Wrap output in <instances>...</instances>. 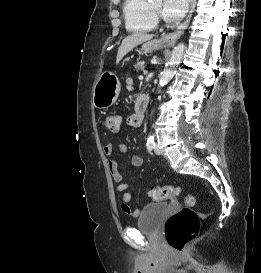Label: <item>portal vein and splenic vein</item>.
<instances>
[{"mask_svg":"<svg viewBox=\"0 0 261 273\" xmlns=\"http://www.w3.org/2000/svg\"><path fill=\"white\" fill-rule=\"evenodd\" d=\"M139 79H140V80H143V76H142V75H140V76H139Z\"/></svg>","mask_w":261,"mask_h":273,"instance_id":"obj_1","label":"portal vein and splenic vein"}]
</instances>
